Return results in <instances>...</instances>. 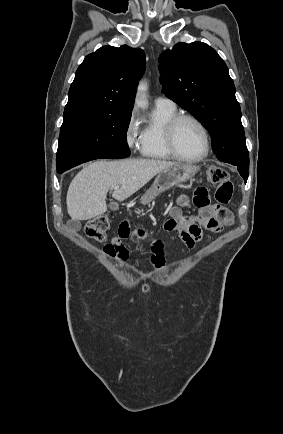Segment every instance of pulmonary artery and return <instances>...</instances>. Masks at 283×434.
<instances>
[{
	"instance_id": "e3ab8cb5",
	"label": "pulmonary artery",
	"mask_w": 283,
	"mask_h": 434,
	"mask_svg": "<svg viewBox=\"0 0 283 434\" xmlns=\"http://www.w3.org/2000/svg\"><path fill=\"white\" fill-rule=\"evenodd\" d=\"M155 106L156 107H161V108H175L176 105L175 103L166 97H157L155 99Z\"/></svg>"
}]
</instances>
